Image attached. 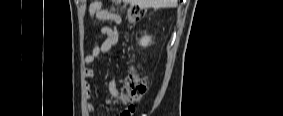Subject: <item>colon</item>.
Listing matches in <instances>:
<instances>
[{"instance_id":"1","label":"colon","mask_w":283,"mask_h":116,"mask_svg":"<svg viewBox=\"0 0 283 116\" xmlns=\"http://www.w3.org/2000/svg\"><path fill=\"white\" fill-rule=\"evenodd\" d=\"M120 11L130 23L138 22L144 14L143 8L137 4H127L121 6ZM146 92V83L141 73L133 68L126 78L125 85L121 92V98L126 103H133L140 99ZM135 111L133 105H129L123 112L122 116H131Z\"/></svg>"}]
</instances>
